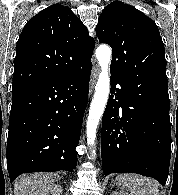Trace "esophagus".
<instances>
[{
  "mask_svg": "<svg viewBox=\"0 0 178 195\" xmlns=\"http://www.w3.org/2000/svg\"><path fill=\"white\" fill-rule=\"evenodd\" d=\"M99 69L97 66H95L92 70L91 74V80H90V92L92 91V88L94 87V84L96 82L97 76H98Z\"/></svg>",
  "mask_w": 178,
  "mask_h": 195,
  "instance_id": "34e87169",
  "label": "esophagus"
}]
</instances>
